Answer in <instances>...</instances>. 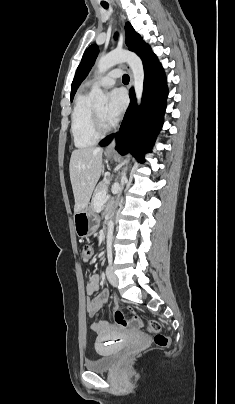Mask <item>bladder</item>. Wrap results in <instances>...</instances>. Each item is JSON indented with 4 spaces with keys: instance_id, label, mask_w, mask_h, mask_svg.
I'll use <instances>...</instances> for the list:
<instances>
[{
    "instance_id": "bladder-1",
    "label": "bladder",
    "mask_w": 235,
    "mask_h": 404,
    "mask_svg": "<svg viewBox=\"0 0 235 404\" xmlns=\"http://www.w3.org/2000/svg\"><path fill=\"white\" fill-rule=\"evenodd\" d=\"M97 351L102 352L104 349L97 346ZM122 351H114L109 354L100 355L94 361H89L85 363V367L93 372H107L110 371L116 364L118 358L120 357Z\"/></svg>"
}]
</instances>
